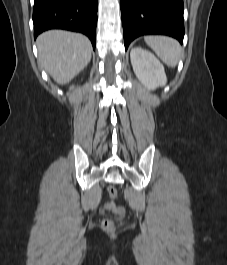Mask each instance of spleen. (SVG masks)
I'll use <instances>...</instances> for the list:
<instances>
[{
	"label": "spleen",
	"mask_w": 227,
	"mask_h": 265,
	"mask_svg": "<svg viewBox=\"0 0 227 265\" xmlns=\"http://www.w3.org/2000/svg\"><path fill=\"white\" fill-rule=\"evenodd\" d=\"M146 43L169 67H175L180 59L181 46L175 39L167 36H147Z\"/></svg>",
	"instance_id": "3e777b00"
}]
</instances>
